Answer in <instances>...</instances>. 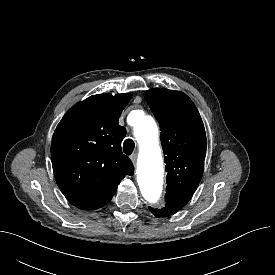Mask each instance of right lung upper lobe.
<instances>
[{
  "mask_svg": "<svg viewBox=\"0 0 275 275\" xmlns=\"http://www.w3.org/2000/svg\"><path fill=\"white\" fill-rule=\"evenodd\" d=\"M128 94H98L77 103L54 131L51 160L56 182L67 200L82 210L106 205L126 175L131 160L122 153L126 130L119 117Z\"/></svg>",
  "mask_w": 275,
  "mask_h": 275,
  "instance_id": "right-lung-upper-lobe-1",
  "label": "right lung upper lobe"
}]
</instances>
